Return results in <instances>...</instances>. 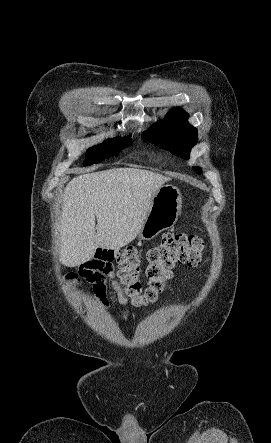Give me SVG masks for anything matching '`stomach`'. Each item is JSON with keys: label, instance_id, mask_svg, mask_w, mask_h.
<instances>
[{"label": "stomach", "instance_id": "0dacf381", "mask_svg": "<svg viewBox=\"0 0 271 443\" xmlns=\"http://www.w3.org/2000/svg\"><path fill=\"white\" fill-rule=\"evenodd\" d=\"M182 210V196L176 186H161L157 190L146 220L138 233L139 239H153L155 235L174 227Z\"/></svg>", "mask_w": 271, "mask_h": 443}]
</instances>
